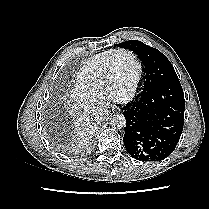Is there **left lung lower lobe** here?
<instances>
[{
    "mask_svg": "<svg viewBox=\"0 0 209 209\" xmlns=\"http://www.w3.org/2000/svg\"><path fill=\"white\" fill-rule=\"evenodd\" d=\"M123 109V141L133 158L161 161L175 150L183 130L185 109L179 79L167 80L142 92Z\"/></svg>",
    "mask_w": 209,
    "mask_h": 209,
    "instance_id": "1",
    "label": "left lung lower lobe"
}]
</instances>
